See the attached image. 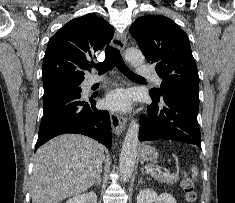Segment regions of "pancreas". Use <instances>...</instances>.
I'll return each instance as SVG.
<instances>
[{
  "label": "pancreas",
  "mask_w": 235,
  "mask_h": 203,
  "mask_svg": "<svg viewBox=\"0 0 235 203\" xmlns=\"http://www.w3.org/2000/svg\"><path fill=\"white\" fill-rule=\"evenodd\" d=\"M153 168V167H151ZM151 176L154 177L155 179L159 180L160 182L166 183V184H174L177 182L178 180V176L177 175H166L165 172H161V171H153L150 172Z\"/></svg>",
  "instance_id": "pancreas-1"
}]
</instances>
